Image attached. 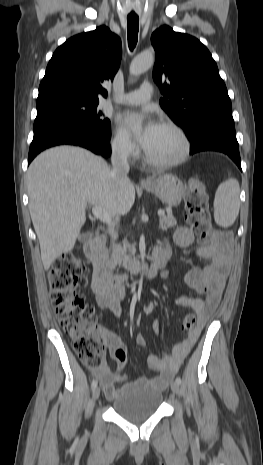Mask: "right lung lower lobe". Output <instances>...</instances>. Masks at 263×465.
<instances>
[{
  "label": "right lung lower lobe",
  "instance_id": "1",
  "mask_svg": "<svg viewBox=\"0 0 263 465\" xmlns=\"http://www.w3.org/2000/svg\"><path fill=\"white\" fill-rule=\"evenodd\" d=\"M111 133L97 134L88 129L73 125H56L34 132L30 145L28 164L41 151L63 144H70L87 148L101 156L110 155L109 140Z\"/></svg>",
  "mask_w": 263,
  "mask_h": 465
}]
</instances>
